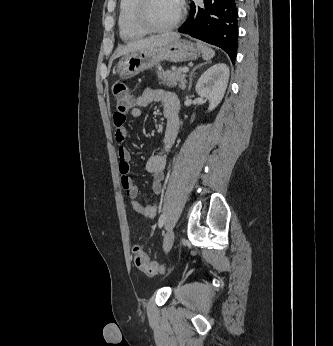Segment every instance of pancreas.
<instances>
[{"instance_id": "cf45deb5", "label": "pancreas", "mask_w": 333, "mask_h": 346, "mask_svg": "<svg viewBox=\"0 0 333 346\" xmlns=\"http://www.w3.org/2000/svg\"><path fill=\"white\" fill-rule=\"evenodd\" d=\"M159 83H162L168 87L174 88L178 86L180 89L186 87V74L182 72V68L174 71H157Z\"/></svg>"}]
</instances>
